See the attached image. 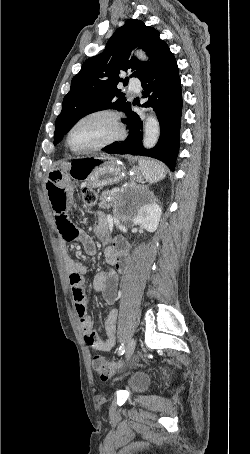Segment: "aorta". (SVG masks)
<instances>
[{
  "mask_svg": "<svg viewBox=\"0 0 250 454\" xmlns=\"http://www.w3.org/2000/svg\"><path fill=\"white\" fill-rule=\"evenodd\" d=\"M136 56L143 61L147 60V57L142 50H137ZM159 135H160L159 122L155 117L149 115L144 125L143 138L144 147L147 149L154 147L159 139Z\"/></svg>",
  "mask_w": 250,
  "mask_h": 454,
  "instance_id": "obj_1",
  "label": "aorta"
}]
</instances>
